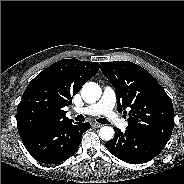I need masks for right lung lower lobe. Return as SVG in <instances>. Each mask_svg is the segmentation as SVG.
I'll return each instance as SVG.
<instances>
[{
  "mask_svg": "<svg viewBox=\"0 0 184 184\" xmlns=\"http://www.w3.org/2000/svg\"><path fill=\"white\" fill-rule=\"evenodd\" d=\"M89 128V122L79 123L72 120L21 139L36 160L45 164H58L75 154L83 133Z\"/></svg>",
  "mask_w": 184,
  "mask_h": 184,
  "instance_id": "98d812e1",
  "label": "right lung lower lobe"
}]
</instances>
